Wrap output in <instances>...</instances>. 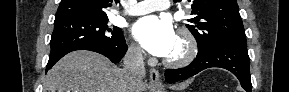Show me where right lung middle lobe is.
Returning <instances> with one entry per match:
<instances>
[{
    "instance_id": "right-lung-middle-lobe-1",
    "label": "right lung middle lobe",
    "mask_w": 289,
    "mask_h": 92,
    "mask_svg": "<svg viewBox=\"0 0 289 92\" xmlns=\"http://www.w3.org/2000/svg\"><path fill=\"white\" fill-rule=\"evenodd\" d=\"M108 18L80 17L54 22L50 56L83 44L112 45L123 38L118 27L109 28Z\"/></svg>"
}]
</instances>
